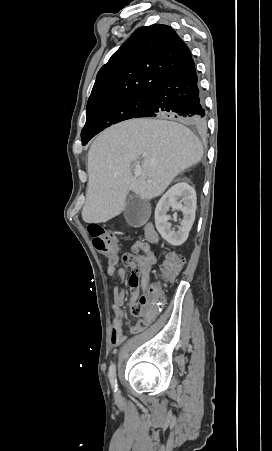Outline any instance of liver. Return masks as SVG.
<instances>
[{"label":"liver","instance_id":"liver-1","mask_svg":"<svg viewBox=\"0 0 272 451\" xmlns=\"http://www.w3.org/2000/svg\"><path fill=\"white\" fill-rule=\"evenodd\" d=\"M169 120L173 118H134L97 136L88 152L84 222L101 224L119 216L130 190L142 200L161 196L180 172L201 162L203 148L197 136ZM139 158L142 174L135 178L131 164Z\"/></svg>","mask_w":272,"mask_h":451}]
</instances>
